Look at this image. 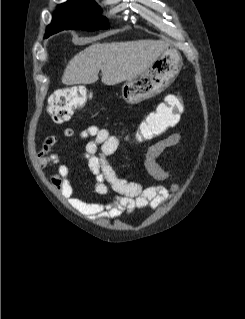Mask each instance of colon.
Listing matches in <instances>:
<instances>
[{"label":"colon","mask_w":245,"mask_h":319,"mask_svg":"<svg viewBox=\"0 0 245 319\" xmlns=\"http://www.w3.org/2000/svg\"><path fill=\"white\" fill-rule=\"evenodd\" d=\"M89 96V91L80 85L59 90L50 98L48 111L54 120L64 121L76 109L82 107ZM181 112L179 96L171 95L165 104L148 114L139 124L136 139L140 142L154 140L176 124Z\"/></svg>","instance_id":"obj_1"}]
</instances>
